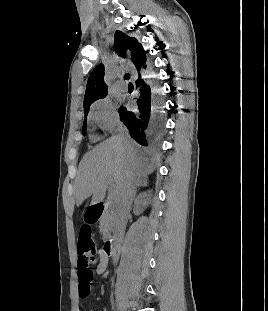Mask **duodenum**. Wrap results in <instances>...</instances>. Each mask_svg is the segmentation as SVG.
I'll return each mask as SVG.
<instances>
[{
  "instance_id": "1",
  "label": "duodenum",
  "mask_w": 268,
  "mask_h": 311,
  "mask_svg": "<svg viewBox=\"0 0 268 311\" xmlns=\"http://www.w3.org/2000/svg\"><path fill=\"white\" fill-rule=\"evenodd\" d=\"M106 207L107 204L105 202H98L89 208L88 216L92 223H96L99 221ZM116 247L117 239L115 237L108 238L104 244V251L106 255H112L116 251Z\"/></svg>"
}]
</instances>
